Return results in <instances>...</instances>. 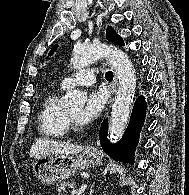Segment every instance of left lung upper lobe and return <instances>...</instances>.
<instances>
[{
	"label": "left lung upper lobe",
	"mask_w": 189,
	"mask_h": 195,
	"mask_svg": "<svg viewBox=\"0 0 189 195\" xmlns=\"http://www.w3.org/2000/svg\"><path fill=\"white\" fill-rule=\"evenodd\" d=\"M106 38L113 42L114 44H117V45H121L123 46L124 45V42H123V39L114 31V29L112 27H108L107 28V32H106ZM58 48V45H55L50 53H49V56L53 55L54 51Z\"/></svg>",
	"instance_id": "obj_1"
}]
</instances>
